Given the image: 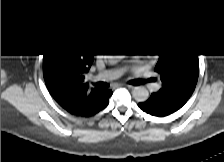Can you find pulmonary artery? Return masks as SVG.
<instances>
[{"mask_svg":"<svg viewBox=\"0 0 224 162\" xmlns=\"http://www.w3.org/2000/svg\"><path fill=\"white\" fill-rule=\"evenodd\" d=\"M123 71L120 69H113L105 71L98 75V79H102L104 81H110L119 78L122 75Z\"/></svg>","mask_w":224,"mask_h":162,"instance_id":"pulmonary-artery-1","label":"pulmonary artery"}]
</instances>
